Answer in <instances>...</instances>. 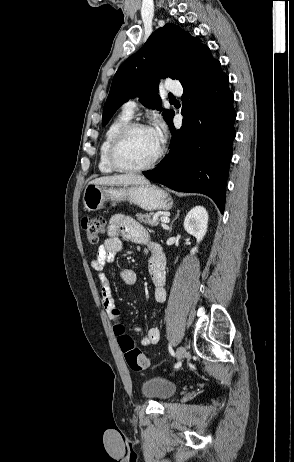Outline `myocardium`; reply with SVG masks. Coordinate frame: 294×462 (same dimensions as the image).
<instances>
[{
  "mask_svg": "<svg viewBox=\"0 0 294 462\" xmlns=\"http://www.w3.org/2000/svg\"><path fill=\"white\" fill-rule=\"evenodd\" d=\"M138 129H151L148 125L141 122H129L125 124L112 138L108 150H107V161L109 165L116 171L126 173H140L153 168L162 158L164 149L160 147L158 153L148 163L142 166H129L123 163L119 158V151L126 140V138L135 130Z\"/></svg>",
  "mask_w": 294,
  "mask_h": 462,
  "instance_id": "1",
  "label": "myocardium"
}]
</instances>
